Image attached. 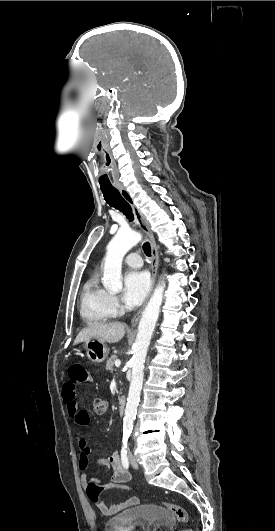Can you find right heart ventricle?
Returning a JSON list of instances; mask_svg holds the SVG:
<instances>
[{
    "mask_svg": "<svg viewBox=\"0 0 275 531\" xmlns=\"http://www.w3.org/2000/svg\"><path fill=\"white\" fill-rule=\"evenodd\" d=\"M107 291L101 287L97 275H90L80 293V312L89 323H105L112 313L107 304Z\"/></svg>",
    "mask_w": 275,
    "mask_h": 531,
    "instance_id": "right-heart-ventricle-1",
    "label": "right heart ventricle"
}]
</instances>
